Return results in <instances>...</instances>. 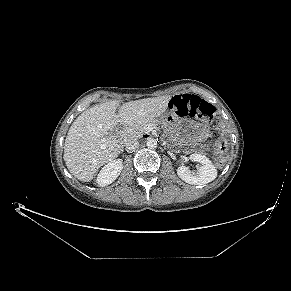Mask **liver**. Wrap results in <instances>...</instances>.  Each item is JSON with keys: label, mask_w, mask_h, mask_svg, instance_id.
<instances>
[{"label": "liver", "mask_w": 291, "mask_h": 291, "mask_svg": "<svg viewBox=\"0 0 291 291\" xmlns=\"http://www.w3.org/2000/svg\"><path fill=\"white\" fill-rule=\"evenodd\" d=\"M171 96L145 98L120 105L117 100L105 102L81 113L72 123L64 144V161L78 180L89 182L105 163L119 153V141L109 132L120 123L131 126L155 120L167 109Z\"/></svg>", "instance_id": "1"}]
</instances>
